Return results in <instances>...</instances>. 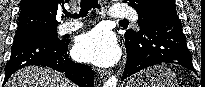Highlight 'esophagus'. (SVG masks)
Segmentation results:
<instances>
[{
    "label": "esophagus",
    "instance_id": "34e87169",
    "mask_svg": "<svg viewBox=\"0 0 205 87\" xmlns=\"http://www.w3.org/2000/svg\"><path fill=\"white\" fill-rule=\"evenodd\" d=\"M109 71L108 70H104V69H99L98 70V75L101 79H105L109 76Z\"/></svg>",
    "mask_w": 205,
    "mask_h": 87
}]
</instances>
